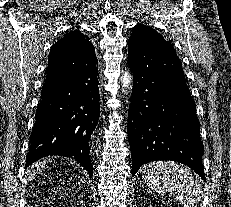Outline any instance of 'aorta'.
I'll return each mask as SVG.
<instances>
[{
    "label": "aorta",
    "instance_id": "obj_1",
    "mask_svg": "<svg viewBox=\"0 0 231 207\" xmlns=\"http://www.w3.org/2000/svg\"><path fill=\"white\" fill-rule=\"evenodd\" d=\"M131 82H132L131 74L129 72L123 73L121 77V83L124 93H126L127 89H129Z\"/></svg>",
    "mask_w": 231,
    "mask_h": 207
}]
</instances>
